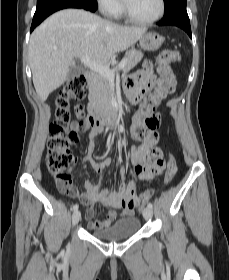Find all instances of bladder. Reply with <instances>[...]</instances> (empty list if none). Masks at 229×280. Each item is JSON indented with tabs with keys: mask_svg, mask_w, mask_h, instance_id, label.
I'll return each mask as SVG.
<instances>
[{
	"mask_svg": "<svg viewBox=\"0 0 229 280\" xmlns=\"http://www.w3.org/2000/svg\"><path fill=\"white\" fill-rule=\"evenodd\" d=\"M140 227L137 217L121 218L103 229L91 230L92 235L106 241H115L136 235Z\"/></svg>",
	"mask_w": 229,
	"mask_h": 280,
	"instance_id": "1",
	"label": "bladder"
}]
</instances>
